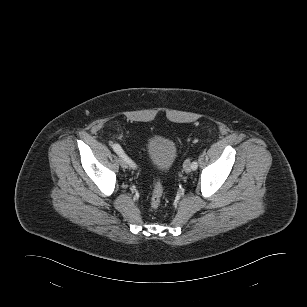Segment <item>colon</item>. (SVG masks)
I'll return each instance as SVG.
<instances>
[{
    "label": "colon",
    "instance_id": "1",
    "mask_svg": "<svg viewBox=\"0 0 307 307\" xmlns=\"http://www.w3.org/2000/svg\"><path fill=\"white\" fill-rule=\"evenodd\" d=\"M163 198V185L160 179H156L153 184L152 194H151V207L157 209L162 202Z\"/></svg>",
    "mask_w": 307,
    "mask_h": 307
}]
</instances>
